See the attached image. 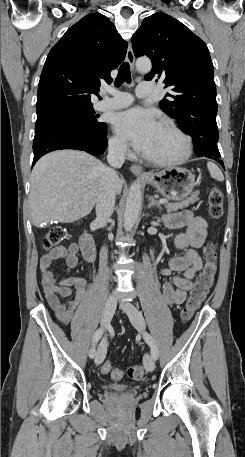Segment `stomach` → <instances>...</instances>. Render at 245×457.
I'll return each mask as SVG.
<instances>
[{
    "mask_svg": "<svg viewBox=\"0 0 245 457\" xmlns=\"http://www.w3.org/2000/svg\"><path fill=\"white\" fill-rule=\"evenodd\" d=\"M152 178L145 182L157 188L160 194L172 200H183L195 186V174L181 166H167L159 172H151Z\"/></svg>",
    "mask_w": 245,
    "mask_h": 457,
    "instance_id": "obj_1",
    "label": "stomach"
}]
</instances>
